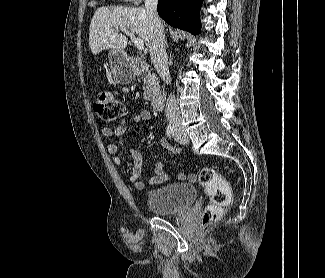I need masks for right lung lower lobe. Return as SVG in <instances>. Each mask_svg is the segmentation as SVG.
<instances>
[{
	"mask_svg": "<svg viewBox=\"0 0 325 278\" xmlns=\"http://www.w3.org/2000/svg\"><path fill=\"white\" fill-rule=\"evenodd\" d=\"M203 0H159L158 14L168 24L194 35L201 32L199 12Z\"/></svg>",
	"mask_w": 325,
	"mask_h": 278,
	"instance_id": "right-lung-lower-lobe-1",
	"label": "right lung lower lobe"
}]
</instances>
